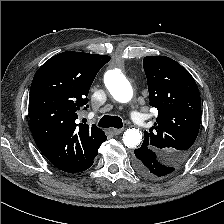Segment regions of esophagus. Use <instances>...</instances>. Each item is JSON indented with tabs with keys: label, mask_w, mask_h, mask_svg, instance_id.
Returning <instances> with one entry per match:
<instances>
[{
	"label": "esophagus",
	"mask_w": 224,
	"mask_h": 224,
	"mask_svg": "<svg viewBox=\"0 0 224 224\" xmlns=\"http://www.w3.org/2000/svg\"><path fill=\"white\" fill-rule=\"evenodd\" d=\"M113 134L119 135L123 132V129H112Z\"/></svg>",
	"instance_id": "1"
}]
</instances>
